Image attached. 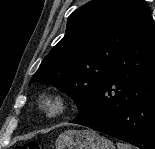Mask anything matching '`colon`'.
<instances>
[{"mask_svg": "<svg viewBox=\"0 0 155 149\" xmlns=\"http://www.w3.org/2000/svg\"><path fill=\"white\" fill-rule=\"evenodd\" d=\"M15 149H41L40 145L36 141H30L26 144H19Z\"/></svg>", "mask_w": 155, "mask_h": 149, "instance_id": "obj_1", "label": "colon"}]
</instances>
